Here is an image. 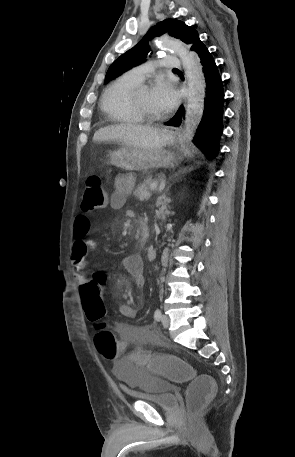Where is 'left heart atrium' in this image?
Segmentation results:
<instances>
[{
  "label": "left heart atrium",
  "mask_w": 295,
  "mask_h": 457,
  "mask_svg": "<svg viewBox=\"0 0 295 457\" xmlns=\"http://www.w3.org/2000/svg\"><path fill=\"white\" fill-rule=\"evenodd\" d=\"M151 95L154 104L162 112L172 109L178 101V94L175 87L170 81L165 79L157 80L151 90Z\"/></svg>",
  "instance_id": "1"
}]
</instances>
